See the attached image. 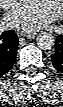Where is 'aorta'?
<instances>
[{
    "label": "aorta",
    "instance_id": "762f6f07",
    "mask_svg": "<svg viewBox=\"0 0 63 107\" xmlns=\"http://www.w3.org/2000/svg\"><path fill=\"white\" fill-rule=\"evenodd\" d=\"M37 44L41 49L50 50L55 44V38L50 32H42L37 37Z\"/></svg>",
    "mask_w": 63,
    "mask_h": 107
}]
</instances>
